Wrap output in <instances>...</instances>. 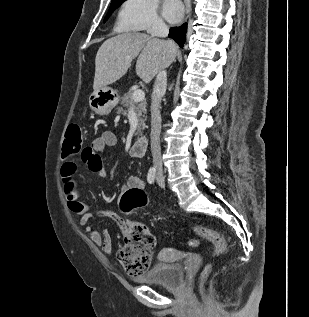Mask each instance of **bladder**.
<instances>
[{
  "label": "bladder",
  "mask_w": 309,
  "mask_h": 317,
  "mask_svg": "<svg viewBox=\"0 0 309 317\" xmlns=\"http://www.w3.org/2000/svg\"><path fill=\"white\" fill-rule=\"evenodd\" d=\"M183 280V265L180 261L158 262L135 278L138 283L156 284L170 289L180 287Z\"/></svg>",
  "instance_id": "obj_1"
}]
</instances>
